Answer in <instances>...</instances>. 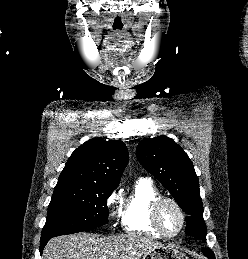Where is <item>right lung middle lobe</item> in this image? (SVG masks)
Here are the masks:
<instances>
[{"mask_svg":"<svg viewBox=\"0 0 248 259\" xmlns=\"http://www.w3.org/2000/svg\"><path fill=\"white\" fill-rule=\"evenodd\" d=\"M116 187H55L41 238L72 234L108 223L107 199Z\"/></svg>","mask_w":248,"mask_h":259,"instance_id":"1","label":"right lung middle lobe"}]
</instances>
